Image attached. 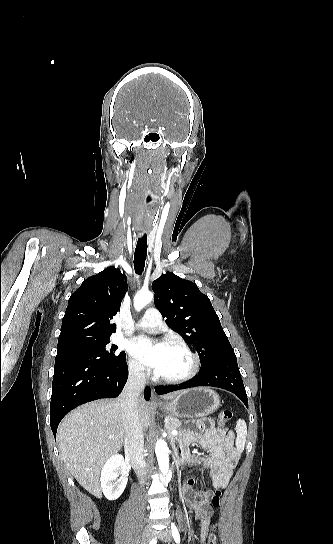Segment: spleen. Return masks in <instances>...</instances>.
<instances>
[{"mask_svg":"<svg viewBox=\"0 0 333 544\" xmlns=\"http://www.w3.org/2000/svg\"><path fill=\"white\" fill-rule=\"evenodd\" d=\"M236 433H237V439H236V445L238 449H243L244 444L246 441L247 436V426L246 422L242 419H239L236 423Z\"/></svg>","mask_w":333,"mask_h":544,"instance_id":"3e777b00","label":"spleen"}]
</instances>
